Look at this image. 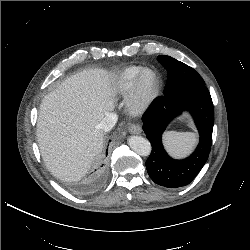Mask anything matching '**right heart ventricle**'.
<instances>
[{"label":"right heart ventricle","mask_w":250,"mask_h":250,"mask_svg":"<svg viewBox=\"0 0 250 250\" xmlns=\"http://www.w3.org/2000/svg\"><path fill=\"white\" fill-rule=\"evenodd\" d=\"M145 69L143 66L132 65L120 70L112 80L111 89L116 95H124L130 91L135 80Z\"/></svg>","instance_id":"obj_1"}]
</instances>
